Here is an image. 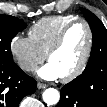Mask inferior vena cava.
Listing matches in <instances>:
<instances>
[{
    "label": "inferior vena cava",
    "instance_id": "obj_1",
    "mask_svg": "<svg viewBox=\"0 0 107 107\" xmlns=\"http://www.w3.org/2000/svg\"><path fill=\"white\" fill-rule=\"evenodd\" d=\"M21 68L25 71H34L36 70L37 66L34 64H23L21 65Z\"/></svg>",
    "mask_w": 107,
    "mask_h": 107
}]
</instances>
